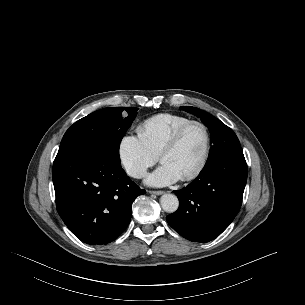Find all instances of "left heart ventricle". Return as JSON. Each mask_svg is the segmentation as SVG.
Here are the masks:
<instances>
[{"label":"left heart ventricle","mask_w":305,"mask_h":305,"mask_svg":"<svg viewBox=\"0 0 305 305\" xmlns=\"http://www.w3.org/2000/svg\"><path fill=\"white\" fill-rule=\"evenodd\" d=\"M205 142L203 129L197 125L191 126L185 131L178 145L163 156L162 163L171 167L181 178L198 166L204 153Z\"/></svg>","instance_id":"left-heart-ventricle-1"}]
</instances>
